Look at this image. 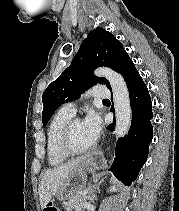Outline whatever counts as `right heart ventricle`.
<instances>
[{"label":"right heart ventricle","instance_id":"1","mask_svg":"<svg viewBox=\"0 0 179 211\" xmlns=\"http://www.w3.org/2000/svg\"><path fill=\"white\" fill-rule=\"evenodd\" d=\"M72 117V114L60 109L49 122L46 132V158L51 167H58L68 160L69 156L61 150L60 137L65 124Z\"/></svg>","mask_w":179,"mask_h":211}]
</instances>
